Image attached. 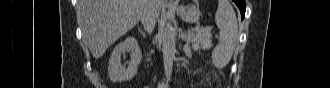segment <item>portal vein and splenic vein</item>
Segmentation results:
<instances>
[{
  "instance_id": "18ae733b",
  "label": "portal vein and splenic vein",
  "mask_w": 330,
  "mask_h": 88,
  "mask_svg": "<svg viewBox=\"0 0 330 88\" xmlns=\"http://www.w3.org/2000/svg\"><path fill=\"white\" fill-rule=\"evenodd\" d=\"M212 28L211 27H202V28H198L197 32H203V33H209L211 32ZM182 37H186V35H183Z\"/></svg>"
}]
</instances>
